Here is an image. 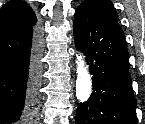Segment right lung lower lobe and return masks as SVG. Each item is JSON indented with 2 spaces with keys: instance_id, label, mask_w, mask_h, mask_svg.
<instances>
[{
  "instance_id": "1",
  "label": "right lung lower lobe",
  "mask_w": 145,
  "mask_h": 124,
  "mask_svg": "<svg viewBox=\"0 0 145 124\" xmlns=\"http://www.w3.org/2000/svg\"><path fill=\"white\" fill-rule=\"evenodd\" d=\"M41 38L36 26L0 33V124L32 120L38 105Z\"/></svg>"
}]
</instances>
